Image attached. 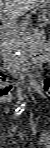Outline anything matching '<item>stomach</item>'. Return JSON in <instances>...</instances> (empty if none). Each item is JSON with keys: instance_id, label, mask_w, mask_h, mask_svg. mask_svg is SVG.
<instances>
[{"instance_id": "stomach-1", "label": "stomach", "mask_w": 50, "mask_h": 148, "mask_svg": "<svg viewBox=\"0 0 50 148\" xmlns=\"http://www.w3.org/2000/svg\"><path fill=\"white\" fill-rule=\"evenodd\" d=\"M50 16V3L45 2L43 5V9L41 10V15H40V21L43 22L42 25H44Z\"/></svg>"}]
</instances>
